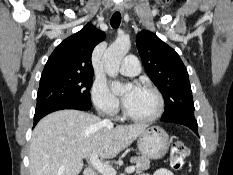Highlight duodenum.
I'll list each match as a JSON object with an SVG mask.
<instances>
[{
    "mask_svg": "<svg viewBox=\"0 0 233 175\" xmlns=\"http://www.w3.org/2000/svg\"><path fill=\"white\" fill-rule=\"evenodd\" d=\"M84 175H96V171L92 167H88L84 171Z\"/></svg>",
    "mask_w": 233,
    "mask_h": 175,
    "instance_id": "obj_1",
    "label": "duodenum"
}]
</instances>
